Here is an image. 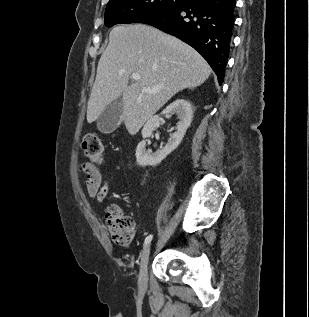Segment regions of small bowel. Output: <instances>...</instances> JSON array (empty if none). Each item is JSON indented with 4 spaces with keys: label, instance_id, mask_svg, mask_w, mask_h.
Listing matches in <instances>:
<instances>
[{
    "label": "small bowel",
    "instance_id": "obj_1",
    "mask_svg": "<svg viewBox=\"0 0 309 317\" xmlns=\"http://www.w3.org/2000/svg\"><path fill=\"white\" fill-rule=\"evenodd\" d=\"M80 169L86 175V193L89 198L95 199L101 204L107 197L110 189L108 180L102 178L100 170L90 163H83Z\"/></svg>",
    "mask_w": 309,
    "mask_h": 317
}]
</instances>
